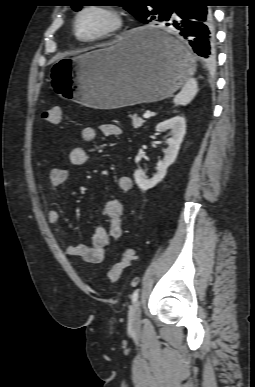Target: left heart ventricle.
I'll return each instance as SVG.
<instances>
[{"instance_id":"obj_1","label":"left heart ventricle","mask_w":255,"mask_h":387,"mask_svg":"<svg viewBox=\"0 0 255 387\" xmlns=\"http://www.w3.org/2000/svg\"><path fill=\"white\" fill-rule=\"evenodd\" d=\"M109 22V18L102 13L87 12L79 21V31L82 36L90 37L104 30Z\"/></svg>"}]
</instances>
